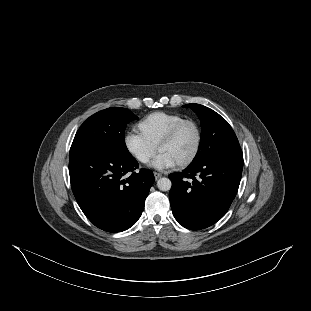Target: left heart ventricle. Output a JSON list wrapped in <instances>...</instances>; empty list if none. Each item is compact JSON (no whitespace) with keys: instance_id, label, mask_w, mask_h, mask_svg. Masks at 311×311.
I'll return each mask as SVG.
<instances>
[{"instance_id":"obj_1","label":"left heart ventricle","mask_w":311,"mask_h":311,"mask_svg":"<svg viewBox=\"0 0 311 311\" xmlns=\"http://www.w3.org/2000/svg\"><path fill=\"white\" fill-rule=\"evenodd\" d=\"M198 143V129L194 122L186 123L178 133L175 140L160 149L174 158L178 164L190 158Z\"/></svg>"}]
</instances>
